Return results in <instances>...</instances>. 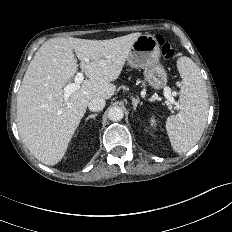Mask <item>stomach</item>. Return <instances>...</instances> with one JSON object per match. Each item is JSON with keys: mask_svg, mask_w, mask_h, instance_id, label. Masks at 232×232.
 Listing matches in <instances>:
<instances>
[{"mask_svg": "<svg viewBox=\"0 0 232 232\" xmlns=\"http://www.w3.org/2000/svg\"><path fill=\"white\" fill-rule=\"evenodd\" d=\"M160 47L156 38L149 34L139 36L133 43L127 58V63L132 68L144 70V80L148 85L159 90L168 81L165 68L159 63Z\"/></svg>", "mask_w": 232, "mask_h": 232, "instance_id": "stomach-1", "label": "stomach"}]
</instances>
